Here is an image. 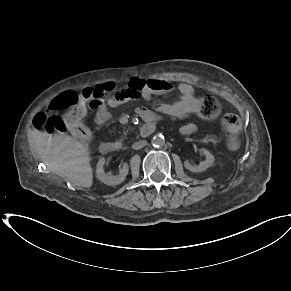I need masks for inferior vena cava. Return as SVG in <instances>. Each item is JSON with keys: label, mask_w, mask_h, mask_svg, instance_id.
<instances>
[{"label": "inferior vena cava", "mask_w": 291, "mask_h": 291, "mask_svg": "<svg viewBox=\"0 0 291 291\" xmlns=\"http://www.w3.org/2000/svg\"><path fill=\"white\" fill-rule=\"evenodd\" d=\"M147 144L146 140H140L133 144L132 148L135 150H139L143 148Z\"/></svg>", "instance_id": "1"}]
</instances>
